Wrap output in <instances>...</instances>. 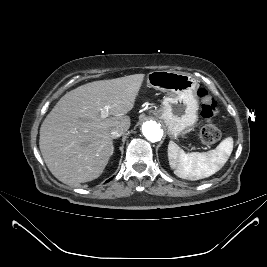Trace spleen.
I'll return each instance as SVG.
<instances>
[{"label":"spleen","instance_id":"1","mask_svg":"<svg viewBox=\"0 0 267 267\" xmlns=\"http://www.w3.org/2000/svg\"><path fill=\"white\" fill-rule=\"evenodd\" d=\"M233 150V138L224 139L207 152L186 153L175 142L168 144L169 165L174 173L187 180L207 178L218 172L228 161Z\"/></svg>","mask_w":267,"mask_h":267}]
</instances>
